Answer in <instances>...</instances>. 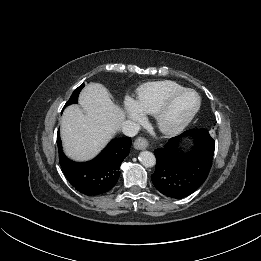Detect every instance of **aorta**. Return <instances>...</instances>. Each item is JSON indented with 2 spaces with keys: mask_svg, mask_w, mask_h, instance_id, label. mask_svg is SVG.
<instances>
[{
  "mask_svg": "<svg viewBox=\"0 0 261 261\" xmlns=\"http://www.w3.org/2000/svg\"><path fill=\"white\" fill-rule=\"evenodd\" d=\"M139 161L145 167H153L156 163V158L153 153L149 151H142L139 154Z\"/></svg>",
  "mask_w": 261,
  "mask_h": 261,
  "instance_id": "762f6f07",
  "label": "aorta"
}]
</instances>
